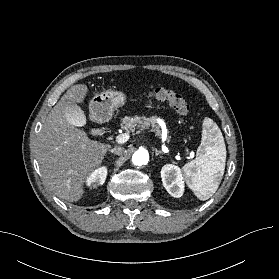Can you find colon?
<instances>
[{
    "label": "colon",
    "instance_id": "colon-1",
    "mask_svg": "<svg viewBox=\"0 0 279 279\" xmlns=\"http://www.w3.org/2000/svg\"><path fill=\"white\" fill-rule=\"evenodd\" d=\"M147 97L154 100L167 101L180 115H186L189 111L188 103L180 94L163 87L148 91Z\"/></svg>",
    "mask_w": 279,
    "mask_h": 279
}]
</instances>
